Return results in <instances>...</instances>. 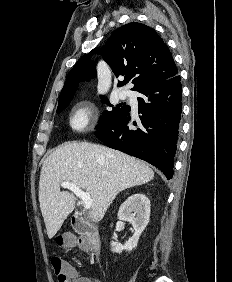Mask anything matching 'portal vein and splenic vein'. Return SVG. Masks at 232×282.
Here are the masks:
<instances>
[{
    "mask_svg": "<svg viewBox=\"0 0 232 282\" xmlns=\"http://www.w3.org/2000/svg\"><path fill=\"white\" fill-rule=\"evenodd\" d=\"M62 188L69 189L72 191L78 198L81 199L85 209H90L92 205L91 197L88 192L82 191L76 184L64 181L61 184Z\"/></svg>",
    "mask_w": 232,
    "mask_h": 282,
    "instance_id": "18ae733b",
    "label": "portal vein and splenic vein"
}]
</instances>
